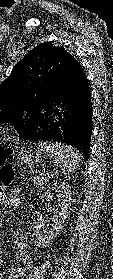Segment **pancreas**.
<instances>
[{
  "mask_svg": "<svg viewBox=\"0 0 113 279\" xmlns=\"http://www.w3.org/2000/svg\"><path fill=\"white\" fill-rule=\"evenodd\" d=\"M47 177H43V176H34L33 177V181H34V185H41L46 181Z\"/></svg>",
  "mask_w": 113,
  "mask_h": 279,
  "instance_id": "1",
  "label": "pancreas"
}]
</instances>
